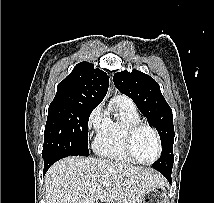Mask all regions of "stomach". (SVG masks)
I'll use <instances>...</instances> for the list:
<instances>
[{"label":"stomach","mask_w":214,"mask_h":203,"mask_svg":"<svg viewBox=\"0 0 214 203\" xmlns=\"http://www.w3.org/2000/svg\"><path fill=\"white\" fill-rule=\"evenodd\" d=\"M138 203H170L165 185L147 191Z\"/></svg>","instance_id":"stomach-1"}]
</instances>
